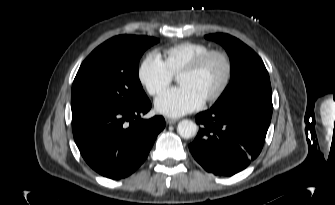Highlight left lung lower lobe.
<instances>
[{
	"instance_id": "obj_1",
	"label": "left lung lower lobe",
	"mask_w": 335,
	"mask_h": 205,
	"mask_svg": "<svg viewBox=\"0 0 335 205\" xmlns=\"http://www.w3.org/2000/svg\"><path fill=\"white\" fill-rule=\"evenodd\" d=\"M272 108L237 102L196 115L201 125L189 149L208 172L232 176L245 169L261 152Z\"/></svg>"
}]
</instances>
